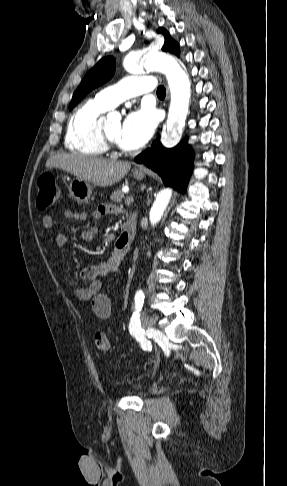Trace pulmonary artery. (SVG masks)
I'll return each mask as SVG.
<instances>
[{"label": "pulmonary artery", "instance_id": "pulmonary-artery-1", "mask_svg": "<svg viewBox=\"0 0 287 486\" xmlns=\"http://www.w3.org/2000/svg\"><path fill=\"white\" fill-rule=\"evenodd\" d=\"M155 89V79L152 76L128 77L119 83L99 91L95 99L108 109L121 102Z\"/></svg>", "mask_w": 287, "mask_h": 486}]
</instances>
